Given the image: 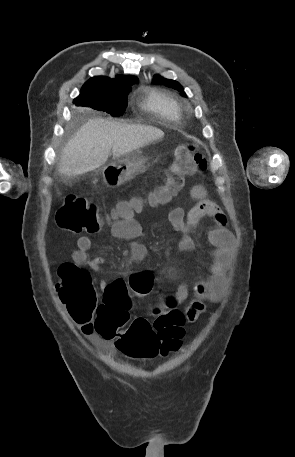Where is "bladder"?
I'll list each match as a JSON object with an SVG mask.
<instances>
[{
	"label": "bladder",
	"mask_w": 295,
	"mask_h": 457,
	"mask_svg": "<svg viewBox=\"0 0 295 457\" xmlns=\"http://www.w3.org/2000/svg\"><path fill=\"white\" fill-rule=\"evenodd\" d=\"M91 345L93 347H100L102 345V340L100 338H93L91 340Z\"/></svg>",
	"instance_id": "1"
}]
</instances>
